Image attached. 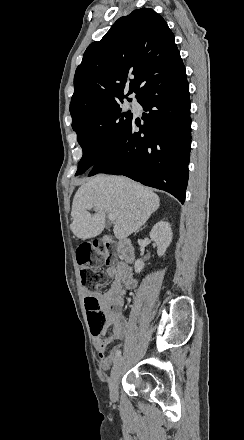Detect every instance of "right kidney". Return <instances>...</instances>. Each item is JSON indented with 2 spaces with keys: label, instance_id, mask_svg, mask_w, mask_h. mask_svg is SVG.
I'll return each instance as SVG.
<instances>
[{
  "label": "right kidney",
  "instance_id": "1",
  "mask_svg": "<svg viewBox=\"0 0 244 440\" xmlns=\"http://www.w3.org/2000/svg\"><path fill=\"white\" fill-rule=\"evenodd\" d=\"M150 238L157 246L158 256H164L168 246L172 242V230L169 222H157L150 232ZM144 268L142 260H136L134 270L139 274Z\"/></svg>",
  "mask_w": 244,
  "mask_h": 440
}]
</instances>
